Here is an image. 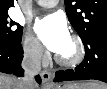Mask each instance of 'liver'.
I'll return each instance as SVG.
<instances>
[{
  "label": "liver",
  "mask_w": 107,
  "mask_h": 89,
  "mask_svg": "<svg viewBox=\"0 0 107 89\" xmlns=\"http://www.w3.org/2000/svg\"><path fill=\"white\" fill-rule=\"evenodd\" d=\"M72 85H76L77 87L82 89H100L101 85L105 86V84L99 82L72 84ZM23 87L24 86L22 85L21 79L1 74L0 89H24ZM32 89H36V86L34 85Z\"/></svg>",
  "instance_id": "obj_1"
}]
</instances>
